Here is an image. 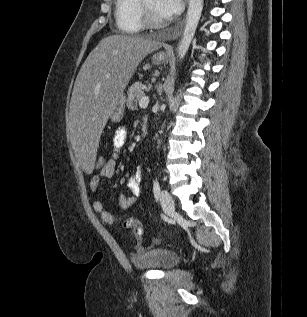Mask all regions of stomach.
Here are the masks:
<instances>
[{"label":"stomach","instance_id":"stomach-1","mask_svg":"<svg viewBox=\"0 0 307 317\" xmlns=\"http://www.w3.org/2000/svg\"><path fill=\"white\" fill-rule=\"evenodd\" d=\"M152 60H153V63L155 64H162L166 62L167 55L164 53H158L153 56ZM124 108H125V96L122 95L121 97L117 99L115 109L112 115L110 116L113 122H119L123 118Z\"/></svg>","mask_w":307,"mask_h":317}]
</instances>
